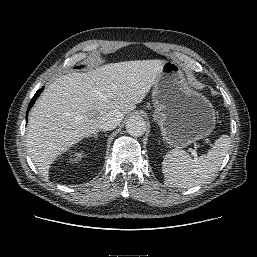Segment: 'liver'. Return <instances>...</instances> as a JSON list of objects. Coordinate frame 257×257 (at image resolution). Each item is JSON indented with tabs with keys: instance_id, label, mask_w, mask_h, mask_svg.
Listing matches in <instances>:
<instances>
[{
	"instance_id": "liver-1",
	"label": "liver",
	"mask_w": 257,
	"mask_h": 257,
	"mask_svg": "<svg viewBox=\"0 0 257 257\" xmlns=\"http://www.w3.org/2000/svg\"><path fill=\"white\" fill-rule=\"evenodd\" d=\"M164 62L111 63L86 73H69L51 83L30 112L26 134L28 152L39 172L47 178L54 159L93 134L104 114L134 110Z\"/></svg>"
}]
</instances>
